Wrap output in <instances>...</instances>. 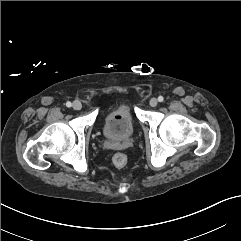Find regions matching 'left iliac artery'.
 Returning <instances> with one entry per match:
<instances>
[{
	"instance_id": "44dca946",
	"label": "left iliac artery",
	"mask_w": 241,
	"mask_h": 241,
	"mask_svg": "<svg viewBox=\"0 0 241 241\" xmlns=\"http://www.w3.org/2000/svg\"><path fill=\"white\" fill-rule=\"evenodd\" d=\"M163 100H164L163 96H159V97H158V101H159V102H163Z\"/></svg>"
}]
</instances>
